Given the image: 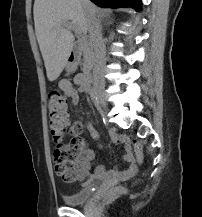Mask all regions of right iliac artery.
Masks as SVG:
<instances>
[{
	"mask_svg": "<svg viewBox=\"0 0 202 217\" xmlns=\"http://www.w3.org/2000/svg\"><path fill=\"white\" fill-rule=\"evenodd\" d=\"M91 99H92L94 105L98 108L99 107V102L97 100L96 93L94 91L91 92Z\"/></svg>",
	"mask_w": 202,
	"mask_h": 217,
	"instance_id": "obj_1",
	"label": "right iliac artery"
}]
</instances>
